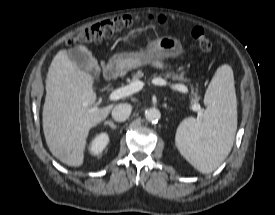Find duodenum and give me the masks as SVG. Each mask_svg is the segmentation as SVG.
Wrapping results in <instances>:
<instances>
[{"label": "duodenum", "instance_id": "1", "mask_svg": "<svg viewBox=\"0 0 275 215\" xmlns=\"http://www.w3.org/2000/svg\"><path fill=\"white\" fill-rule=\"evenodd\" d=\"M105 76L109 79V80H113L115 78V72L111 69H107L105 71Z\"/></svg>", "mask_w": 275, "mask_h": 215}]
</instances>
